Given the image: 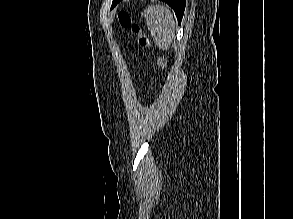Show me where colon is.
Masks as SVG:
<instances>
[{
	"instance_id": "5ec220e1",
	"label": "colon",
	"mask_w": 293,
	"mask_h": 219,
	"mask_svg": "<svg viewBox=\"0 0 293 219\" xmlns=\"http://www.w3.org/2000/svg\"><path fill=\"white\" fill-rule=\"evenodd\" d=\"M118 19L122 27L129 28L134 34H136L138 43L142 48L146 50H153L152 40L149 35L143 32L137 24L133 23L130 16L126 12H119ZM157 64L163 70L167 67L166 60L161 56L157 58Z\"/></svg>"
}]
</instances>
